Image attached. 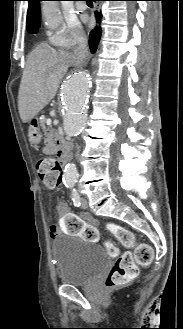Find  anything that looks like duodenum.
<instances>
[{
    "instance_id": "1",
    "label": "duodenum",
    "mask_w": 183,
    "mask_h": 329,
    "mask_svg": "<svg viewBox=\"0 0 183 329\" xmlns=\"http://www.w3.org/2000/svg\"><path fill=\"white\" fill-rule=\"evenodd\" d=\"M69 145L66 141L62 140L58 146L57 154L62 165H65L67 162V156L69 152Z\"/></svg>"
}]
</instances>
